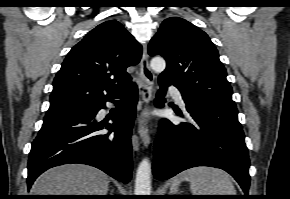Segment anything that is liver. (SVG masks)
<instances>
[{"label":"liver","mask_w":290,"mask_h":199,"mask_svg":"<svg viewBox=\"0 0 290 199\" xmlns=\"http://www.w3.org/2000/svg\"><path fill=\"white\" fill-rule=\"evenodd\" d=\"M109 177L94 167L67 164L43 173L33 184V195H107Z\"/></svg>","instance_id":"6515ba94"}]
</instances>
